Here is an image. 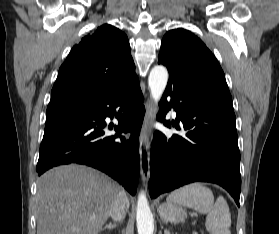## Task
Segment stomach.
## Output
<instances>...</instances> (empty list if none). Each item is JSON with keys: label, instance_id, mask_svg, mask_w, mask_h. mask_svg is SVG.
<instances>
[{"label": "stomach", "instance_id": "obj_1", "mask_svg": "<svg viewBox=\"0 0 279 234\" xmlns=\"http://www.w3.org/2000/svg\"><path fill=\"white\" fill-rule=\"evenodd\" d=\"M160 217L171 223H179L185 220L186 212L178 204L166 202L158 207Z\"/></svg>", "mask_w": 279, "mask_h": 234}]
</instances>
